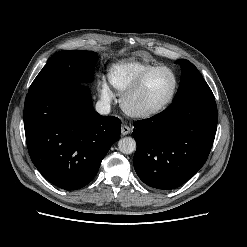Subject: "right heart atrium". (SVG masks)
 I'll return each instance as SVG.
<instances>
[{"label":"right heart atrium","instance_id":"obj_1","mask_svg":"<svg viewBox=\"0 0 247 247\" xmlns=\"http://www.w3.org/2000/svg\"><path fill=\"white\" fill-rule=\"evenodd\" d=\"M100 95L107 102H110L114 98L113 91L105 81H102L100 84Z\"/></svg>","mask_w":247,"mask_h":247}]
</instances>
